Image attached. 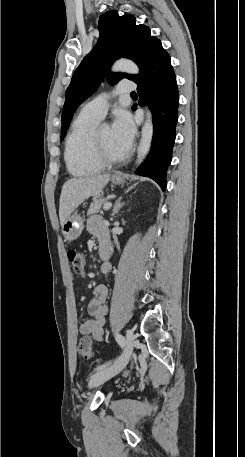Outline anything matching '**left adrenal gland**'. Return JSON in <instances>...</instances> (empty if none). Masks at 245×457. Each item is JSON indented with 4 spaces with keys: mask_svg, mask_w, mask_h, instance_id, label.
Returning a JSON list of instances; mask_svg holds the SVG:
<instances>
[{
    "mask_svg": "<svg viewBox=\"0 0 245 457\" xmlns=\"http://www.w3.org/2000/svg\"><path fill=\"white\" fill-rule=\"evenodd\" d=\"M122 196H119V198H117V200H115V204L113 206V212L111 214V216H114V214H117L118 210H120L121 206H123L124 202H120Z\"/></svg>",
    "mask_w": 245,
    "mask_h": 457,
    "instance_id": "obj_1",
    "label": "left adrenal gland"
}]
</instances>
